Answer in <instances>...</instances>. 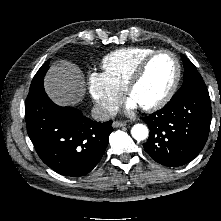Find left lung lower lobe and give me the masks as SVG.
<instances>
[{
	"label": "left lung lower lobe",
	"mask_w": 221,
	"mask_h": 221,
	"mask_svg": "<svg viewBox=\"0 0 221 221\" xmlns=\"http://www.w3.org/2000/svg\"><path fill=\"white\" fill-rule=\"evenodd\" d=\"M211 117L210 97L206 88L173 96L161 110L142 118L150 128L144 149L162 165H184L203 149Z\"/></svg>",
	"instance_id": "left-lung-lower-lobe-1"
}]
</instances>
